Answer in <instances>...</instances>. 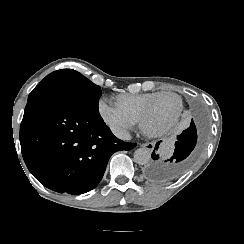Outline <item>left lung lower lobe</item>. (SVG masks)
Here are the masks:
<instances>
[{"instance_id":"left-lung-lower-lobe-1","label":"left lung lower lobe","mask_w":244,"mask_h":244,"mask_svg":"<svg viewBox=\"0 0 244 244\" xmlns=\"http://www.w3.org/2000/svg\"><path fill=\"white\" fill-rule=\"evenodd\" d=\"M197 143V131L193 120L190 127L184 130L175 142V150L171 158L158 160L159 156L152 153L154 161H150L144 168L146 178L153 181H168L180 176L192 163L193 152Z\"/></svg>"}]
</instances>
